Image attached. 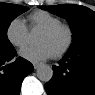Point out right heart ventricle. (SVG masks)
Returning a JSON list of instances; mask_svg holds the SVG:
<instances>
[{"label": "right heart ventricle", "instance_id": "right-heart-ventricle-1", "mask_svg": "<svg viewBox=\"0 0 95 95\" xmlns=\"http://www.w3.org/2000/svg\"><path fill=\"white\" fill-rule=\"evenodd\" d=\"M30 29L44 30L46 28L58 25L61 23V19L47 11L37 10L29 15Z\"/></svg>", "mask_w": 95, "mask_h": 95}]
</instances>
